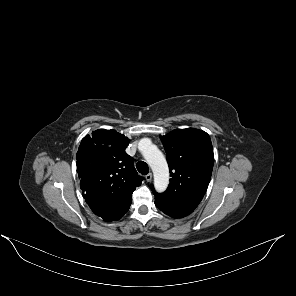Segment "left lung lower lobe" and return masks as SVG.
Returning a JSON list of instances; mask_svg holds the SVG:
<instances>
[{
  "label": "left lung lower lobe",
  "mask_w": 296,
  "mask_h": 296,
  "mask_svg": "<svg viewBox=\"0 0 296 296\" xmlns=\"http://www.w3.org/2000/svg\"><path fill=\"white\" fill-rule=\"evenodd\" d=\"M155 205L161 210L163 211L165 214L173 217V218H182L185 217L187 215H189L190 213H192L193 211L190 210H177V209H170V208H166L163 207L161 205H159L156 201H155Z\"/></svg>",
  "instance_id": "obj_1"
}]
</instances>
